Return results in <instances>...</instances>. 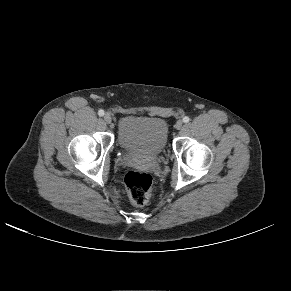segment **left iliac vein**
Segmentation results:
<instances>
[{
  "mask_svg": "<svg viewBox=\"0 0 291 291\" xmlns=\"http://www.w3.org/2000/svg\"><path fill=\"white\" fill-rule=\"evenodd\" d=\"M183 126V122L181 120L177 121L176 124H175V128L177 130H180Z\"/></svg>",
  "mask_w": 291,
  "mask_h": 291,
  "instance_id": "obj_1",
  "label": "left iliac vein"
}]
</instances>
